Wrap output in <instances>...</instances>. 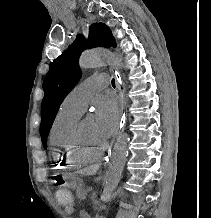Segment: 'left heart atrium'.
Returning a JSON list of instances; mask_svg holds the SVG:
<instances>
[{"label": "left heart atrium", "mask_w": 211, "mask_h": 218, "mask_svg": "<svg viewBox=\"0 0 211 218\" xmlns=\"http://www.w3.org/2000/svg\"><path fill=\"white\" fill-rule=\"evenodd\" d=\"M95 127L105 139L117 130L120 121V110L116 98L112 94L98 97L95 102Z\"/></svg>", "instance_id": "39dd6f15"}]
</instances>
